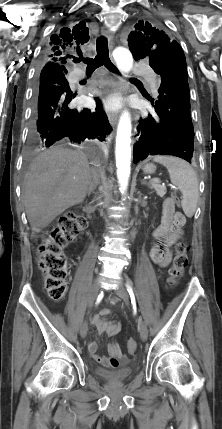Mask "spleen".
<instances>
[{"mask_svg":"<svg viewBox=\"0 0 222 429\" xmlns=\"http://www.w3.org/2000/svg\"><path fill=\"white\" fill-rule=\"evenodd\" d=\"M153 161L167 168L171 182L183 195L182 209L185 215L191 218L196 211L199 198L198 179L194 169L184 160L173 156L158 155L153 157Z\"/></svg>","mask_w":222,"mask_h":429,"instance_id":"3e777b00","label":"spleen"}]
</instances>
